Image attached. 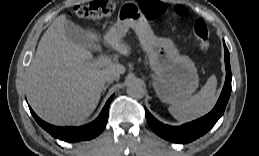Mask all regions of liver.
I'll return each instance as SVG.
<instances>
[{
	"label": "liver",
	"mask_w": 259,
	"mask_h": 156,
	"mask_svg": "<svg viewBox=\"0 0 259 156\" xmlns=\"http://www.w3.org/2000/svg\"><path fill=\"white\" fill-rule=\"evenodd\" d=\"M67 22L66 15H60L45 31L26 78L30 106L41 119L53 125L85 121L98 105L105 75L111 71L125 72L119 63L102 68L89 65L92 53L66 37ZM86 33L92 41L99 40L96 32ZM104 41L120 54H130L129 46L112 32L104 35Z\"/></svg>",
	"instance_id": "6515ba94"
}]
</instances>
